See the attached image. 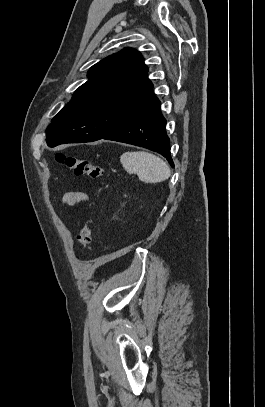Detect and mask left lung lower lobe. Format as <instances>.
Wrapping results in <instances>:
<instances>
[{
	"mask_svg": "<svg viewBox=\"0 0 265 407\" xmlns=\"http://www.w3.org/2000/svg\"><path fill=\"white\" fill-rule=\"evenodd\" d=\"M166 120L160 110V101L149 110L126 122L102 139L148 148L162 154L174 167L170 155Z\"/></svg>",
	"mask_w": 265,
	"mask_h": 407,
	"instance_id": "left-lung-lower-lobe-1",
	"label": "left lung lower lobe"
}]
</instances>
